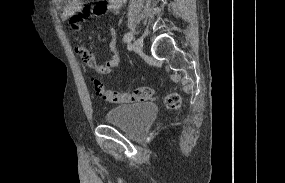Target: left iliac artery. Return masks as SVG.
I'll return each instance as SVG.
<instances>
[{
    "label": "left iliac artery",
    "mask_w": 285,
    "mask_h": 183,
    "mask_svg": "<svg viewBox=\"0 0 285 183\" xmlns=\"http://www.w3.org/2000/svg\"><path fill=\"white\" fill-rule=\"evenodd\" d=\"M133 39V34L131 32H128L125 36H124V41L125 42H130Z\"/></svg>",
    "instance_id": "obj_1"
}]
</instances>
